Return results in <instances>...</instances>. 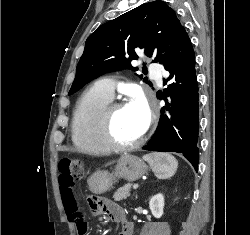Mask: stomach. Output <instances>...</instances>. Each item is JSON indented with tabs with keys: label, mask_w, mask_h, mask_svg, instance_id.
<instances>
[{
	"label": "stomach",
	"mask_w": 250,
	"mask_h": 235,
	"mask_svg": "<svg viewBox=\"0 0 250 235\" xmlns=\"http://www.w3.org/2000/svg\"><path fill=\"white\" fill-rule=\"evenodd\" d=\"M147 169L146 164L139 157L124 154L118 160L112 173L108 171L94 173L89 180V189L94 194H103L112 188L117 179L123 178L127 181H135L143 176Z\"/></svg>",
	"instance_id": "obj_1"
}]
</instances>
